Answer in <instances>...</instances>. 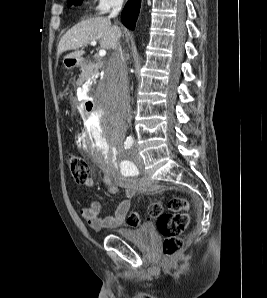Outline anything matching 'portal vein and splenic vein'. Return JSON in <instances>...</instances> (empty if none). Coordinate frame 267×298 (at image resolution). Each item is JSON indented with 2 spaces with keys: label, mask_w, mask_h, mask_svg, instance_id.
Returning <instances> with one entry per match:
<instances>
[{
  "label": "portal vein and splenic vein",
  "mask_w": 267,
  "mask_h": 298,
  "mask_svg": "<svg viewBox=\"0 0 267 298\" xmlns=\"http://www.w3.org/2000/svg\"><path fill=\"white\" fill-rule=\"evenodd\" d=\"M91 45L95 46L97 44L96 41H91L90 42ZM99 55L102 57V56H105L106 55V50L105 49H100L99 50Z\"/></svg>",
  "instance_id": "18ae733b"
}]
</instances>
